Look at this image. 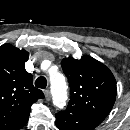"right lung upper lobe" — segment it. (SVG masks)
<instances>
[{"mask_svg":"<svg viewBox=\"0 0 130 130\" xmlns=\"http://www.w3.org/2000/svg\"><path fill=\"white\" fill-rule=\"evenodd\" d=\"M29 53L10 44L0 46V130H19L28 121L31 105L43 98L25 70Z\"/></svg>","mask_w":130,"mask_h":130,"instance_id":"obj_1","label":"right lung upper lobe"}]
</instances>
